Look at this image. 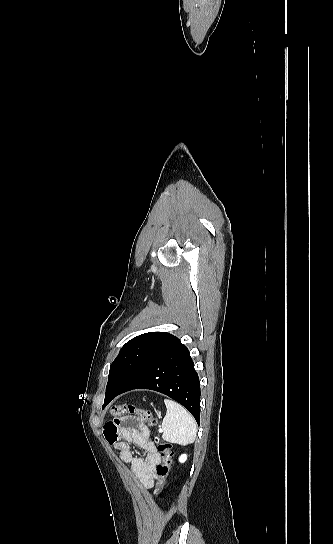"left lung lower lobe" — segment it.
Wrapping results in <instances>:
<instances>
[{
  "instance_id": "left-lung-lower-lobe-1",
  "label": "left lung lower lobe",
  "mask_w": 333,
  "mask_h": 544,
  "mask_svg": "<svg viewBox=\"0 0 333 544\" xmlns=\"http://www.w3.org/2000/svg\"><path fill=\"white\" fill-rule=\"evenodd\" d=\"M133 389H150L182 404L200 422V382L187 347L173 337L158 350L120 390L106 392L102 408L117 395Z\"/></svg>"
}]
</instances>
